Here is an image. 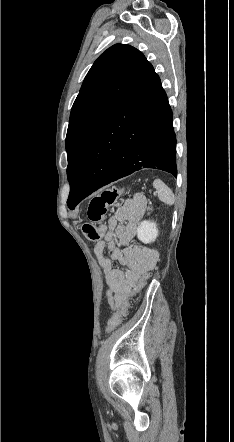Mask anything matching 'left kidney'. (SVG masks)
I'll use <instances>...</instances> for the list:
<instances>
[{"mask_svg": "<svg viewBox=\"0 0 234 442\" xmlns=\"http://www.w3.org/2000/svg\"><path fill=\"white\" fill-rule=\"evenodd\" d=\"M157 236L158 229L155 222L145 220L139 224L137 228V237L141 242L145 244L154 242Z\"/></svg>", "mask_w": 234, "mask_h": 442, "instance_id": "1", "label": "left kidney"}]
</instances>
